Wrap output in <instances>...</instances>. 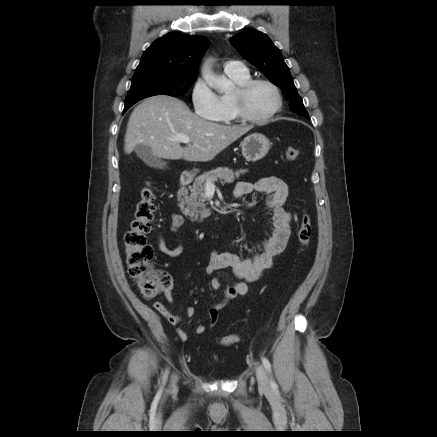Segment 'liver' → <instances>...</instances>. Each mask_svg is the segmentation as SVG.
Listing matches in <instances>:
<instances>
[{
	"label": "liver",
	"instance_id": "liver-1",
	"mask_svg": "<svg viewBox=\"0 0 437 437\" xmlns=\"http://www.w3.org/2000/svg\"><path fill=\"white\" fill-rule=\"evenodd\" d=\"M251 126H227L193 114L181 100L158 95L145 99L130 115L124 150L130 154L136 145L149 146L158 158L208 162L247 133ZM189 137L181 147L177 135Z\"/></svg>",
	"mask_w": 437,
	"mask_h": 437
}]
</instances>
